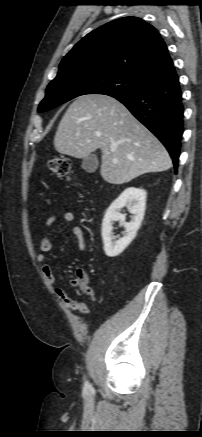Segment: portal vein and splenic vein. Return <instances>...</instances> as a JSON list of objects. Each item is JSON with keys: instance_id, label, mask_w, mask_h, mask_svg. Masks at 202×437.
<instances>
[{"instance_id": "1", "label": "portal vein and splenic vein", "mask_w": 202, "mask_h": 437, "mask_svg": "<svg viewBox=\"0 0 202 437\" xmlns=\"http://www.w3.org/2000/svg\"><path fill=\"white\" fill-rule=\"evenodd\" d=\"M115 150V148H111V151H114Z\"/></svg>"}]
</instances>
